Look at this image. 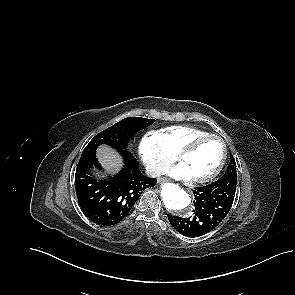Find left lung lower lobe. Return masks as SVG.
Returning <instances> with one entry per match:
<instances>
[{"instance_id":"1","label":"left lung lower lobe","mask_w":295,"mask_h":295,"mask_svg":"<svg viewBox=\"0 0 295 295\" xmlns=\"http://www.w3.org/2000/svg\"><path fill=\"white\" fill-rule=\"evenodd\" d=\"M237 178L224 176L193 190L194 215L181 218L168 214L172 226L184 236L198 237L213 230L229 213L236 192Z\"/></svg>"}]
</instances>
